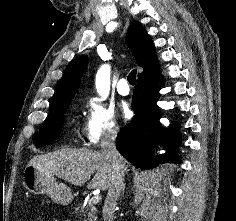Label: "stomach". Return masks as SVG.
I'll list each match as a JSON object with an SVG mask.
<instances>
[{
	"label": "stomach",
	"instance_id": "0dacf381",
	"mask_svg": "<svg viewBox=\"0 0 236 221\" xmlns=\"http://www.w3.org/2000/svg\"><path fill=\"white\" fill-rule=\"evenodd\" d=\"M23 184L29 192L34 194H47L55 202L69 204L73 195L69 187L58 183L53 174L41 171L40 169L27 165L23 172Z\"/></svg>",
	"mask_w": 236,
	"mask_h": 221
}]
</instances>
